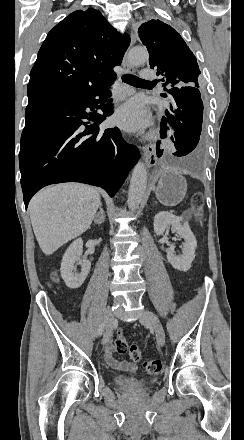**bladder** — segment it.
<instances>
[{"label": "bladder", "instance_id": "obj_1", "mask_svg": "<svg viewBox=\"0 0 244 440\" xmlns=\"http://www.w3.org/2000/svg\"><path fill=\"white\" fill-rule=\"evenodd\" d=\"M114 381L117 383L119 389L125 391L141 390L150 385V380L136 377H115Z\"/></svg>", "mask_w": 244, "mask_h": 440}]
</instances>
